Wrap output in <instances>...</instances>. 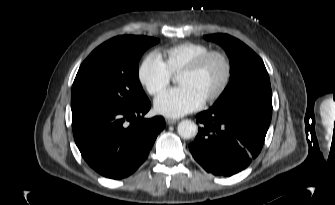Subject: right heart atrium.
I'll use <instances>...</instances> for the list:
<instances>
[{
    "mask_svg": "<svg viewBox=\"0 0 335 205\" xmlns=\"http://www.w3.org/2000/svg\"><path fill=\"white\" fill-rule=\"evenodd\" d=\"M172 74L156 53L148 54L138 69V79L150 95H157L170 83Z\"/></svg>",
    "mask_w": 335,
    "mask_h": 205,
    "instance_id": "obj_1",
    "label": "right heart atrium"
}]
</instances>
